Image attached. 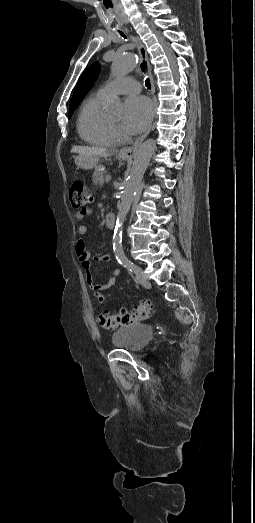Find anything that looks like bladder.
Returning a JSON list of instances; mask_svg holds the SVG:
<instances>
[{
  "instance_id": "1",
  "label": "bladder",
  "mask_w": 255,
  "mask_h": 523,
  "mask_svg": "<svg viewBox=\"0 0 255 523\" xmlns=\"http://www.w3.org/2000/svg\"><path fill=\"white\" fill-rule=\"evenodd\" d=\"M153 327L146 324H132L119 328L113 333L111 343L129 351L140 350L153 336Z\"/></svg>"
}]
</instances>
